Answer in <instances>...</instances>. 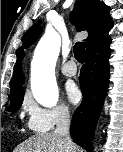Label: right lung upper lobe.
<instances>
[{
    "mask_svg": "<svg viewBox=\"0 0 123 152\" xmlns=\"http://www.w3.org/2000/svg\"><path fill=\"white\" fill-rule=\"evenodd\" d=\"M109 10L110 8L99 0L76 1L74 10L71 13V21L76 25L78 31L86 30L88 32L86 52L109 38L107 32L113 26ZM41 32L42 28L40 22H38L31 28L23 42L16 61L14 78L11 82V94L23 89L24 76L21 62L25 56L24 49L33 44Z\"/></svg>",
    "mask_w": 123,
    "mask_h": 152,
    "instance_id": "1",
    "label": "right lung upper lobe"
}]
</instances>
